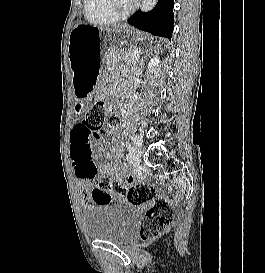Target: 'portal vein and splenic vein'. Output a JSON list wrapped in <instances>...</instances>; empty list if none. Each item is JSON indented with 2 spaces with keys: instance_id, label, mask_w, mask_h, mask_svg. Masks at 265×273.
Listing matches in <instances>:
<instances>
[{
  "instance_id": "1",
  "label": "portal vein and splenic vein",
  "mask_w": 265,
  "mask_h": 273,
  "mask_svg": "<svg viewBox=\"0 0 265 273\" xmlns=\"http://www.w3.org/2000/svg\"><path fill=\"white\" fill-rule=\"evenodd\" d=\"M132 56L135 57V58H138L139 54L133 53Z\"/></svg>"
}]
</instances>
